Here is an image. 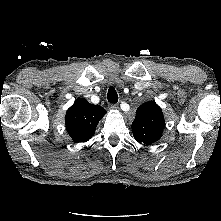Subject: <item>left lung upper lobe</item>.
<instances>
[{"instance_id":"left-lung-upper-lobe-1","label":"left lung upper lobe","mask_w":221,"mask_h":221,"mask_svg":"<svg viewBox=\"0 0 221 221\" xmlns=\"http://www.w3.org/2000/svg\"><path fill=\"white\" fill-rule=\"evenodd\" d=\"M164 126L162 109L154 101H148L136 110L132 123L133 136L140 144L151 145L161 138Z\"/></svg>"}]
</instances>
